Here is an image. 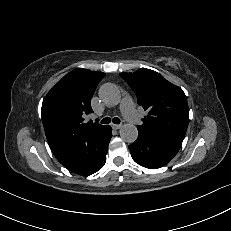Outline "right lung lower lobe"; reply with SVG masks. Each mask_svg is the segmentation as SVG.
<instances>
[{
    "instance_id": "right-lung-lower-lobe-1",
    "label": "right lung lower lobe",
    "mask_w": 231,
    "mask_h": 231,
    "mask_svg": "<svg viewBox=\"0 0 231 231\" xmlns=\"http://www.w3.org/2000/svg\"><path fill=\"white\" fill-rule=\"evenodd\" d=\"M111 131V127L105 125L99 131L82 137L75 154L59 162L79 175H91L97 172L106 162Z\"/></svg>"
}]
</instances>
